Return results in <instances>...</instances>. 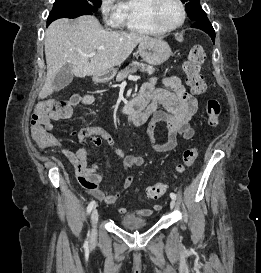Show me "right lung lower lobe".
Segmentation results:
<instances>
[{
	"mask_svg": "<svg viewBox=\"0 0 261 273\" xmlns=\"http://www.w3.org/2000/svg\"><path fill=\"white\" fill-rule=\"evenodd\" d=\"M76 9L80 12L81 11V8H79V7H76ZM81 16V15H80ZM51 22H48L47 21V25H49Z\"/></svg>",
	"mask_w": 261,
	"mask_h": 273,
	"instance_id": "obj_1",
	"label": "right lung lower lobe"
}]
</instances>
